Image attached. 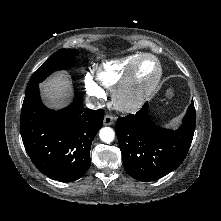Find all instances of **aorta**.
Listing matches in <instances>:
<instances>
[{"mask_svg": "<svg viewBox=\"0 0 221 221\" xmlns=\"http://www.w3.org/2000/svg\"><path fill=\"white\" fill-rule=\"evenodd\" d=\"M100 139L105 143H110L114 140L115 133L112 128L104 127L99 133Z\"/></svg>", "mask_w": 221, "mask_h": 221, "instance_id": "obj_1", "label": "aorta"}]
</instances>
